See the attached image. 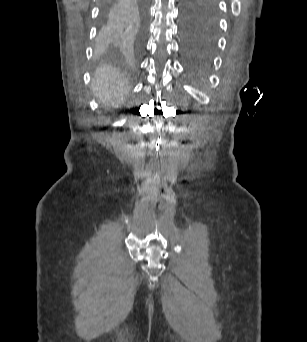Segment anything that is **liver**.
Wrapping results in <instances>:
<instances>
[{"label":"liver","instance_id":"1","mask_svg":"<svg viewBox=\"0 0 307 342\" xmlns=\"http://www.w3.org/2000/svg\"><path fill=\"white\" fill-rule=\"evenodd\" d=\"M130 88L128 80H125L118 68L112 66L97 68L92 80V90L101 104H121Z\"/></svg>","mask_w":307,"mask_h":342}]
</instances>
